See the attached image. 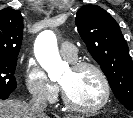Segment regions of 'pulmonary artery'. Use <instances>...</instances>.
<instances>
[{"instance_id": "obj_1", "label": "pulmonary artery", "mask_w": 133, "mask_h": 118, "mask_svg": "<svg viewBox=\"0 0 133 118\" xmlns=\"http://www.w3.org/2000/svg\"><path fill=\"white\" fill-rule=\"evenodd\" d=\"M76 51V47L72 43L64 42L60 45V53L69 61H74L76 59Z\"/></svg>"}]
</instances>
